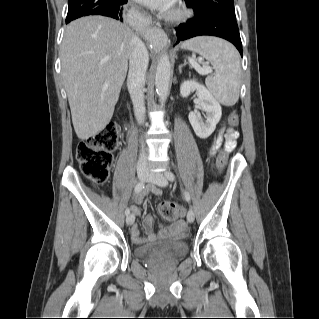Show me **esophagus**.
Returning <instances> with one entry per match:
<instances>
[{"label":"esophagus","mask_w":319,"mask_h":319,"mask_svg":"<svg viewBox=\"0 0 319 319\" xmlns=\"http://www.w3.org/2000/svg\"><path fill=\"white\" fill-rule=\"evenodd\" d=\"M149 32L151 33L149 41L154 46H158L162 42H166L168 40L165 31L159 25H153Z\"/></svg>","instance_id":"esophagus-1"}]
</instances>
